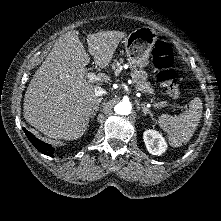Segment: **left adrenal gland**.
<instances>
[{
  "label": "left adrenal gland",
  "instance_id": "a2214340",
  "mask_svg": "<svg viewBox=\"0 0 221 221\" xmlns=\"http://www.w3.org/2000/svg\"><path fill=\"white\" fill-rule=\"evenodd\" d=\"M142 110H143V116H146L147 114H149L151 116V118L153 117V114L151 113V111L145 106V104L141 105Z\"/></svg>",
  "mask_w": 221,
  "mask_h": 221
}]
</instances>
